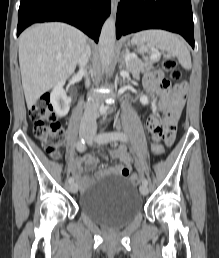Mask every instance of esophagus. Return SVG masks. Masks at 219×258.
Instances as JSON below:
<instances>
[{
  "instance_id": "esophagus-1",
  "label": "esophagus",
  "mask_w": 219,
  "mask_h": 258,
  "mask_svg": "<svg viewBox=\"0 0 219 258\" xmlns=\"http://www.w3.org/2000/svg\"><path fill=\"white\" fill-rule=\"evenodd\" d=\"M111 11H112V14H115L117 11V1L116 0H112Z\"/></svg>"
}]
</instances>
